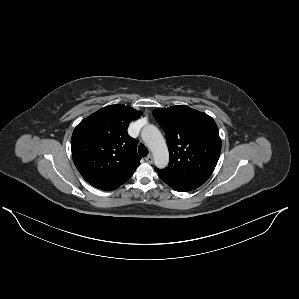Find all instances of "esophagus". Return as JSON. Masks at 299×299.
<instances>
[{"instance_id":"34e87169","label":"esophagus","mask_w":299,"mask_h":299,"mask_svg":"<svg viewBox=\"0 0 299 299\" xmlns=\"http://www.w3.org/2000/svg\"><path fill=\"white\" fill-rule=\"evenodd\" d=\"M146 162L148 163H152L153 162V157L152 155H148L146 158H145Z\"/></svg>"}]
</instances>
